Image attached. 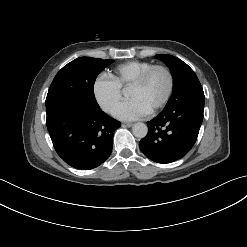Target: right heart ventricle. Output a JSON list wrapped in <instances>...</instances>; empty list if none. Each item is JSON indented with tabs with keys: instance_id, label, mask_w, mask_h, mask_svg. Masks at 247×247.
Instances as JSON below:
<instances>
[{
	"instance_id": "obj_1",
	"label": "right heart ventricle",
	"mask_w": 247,
	"mask_h": 247,
	"mask_svg": "<svg viewBox=\"0 0 247 247\" xmlns=\"http://www.w3.org/2000/svg\"><path fill=\"white\" fill-rule=\"evenodd\" d=\"M153 63L149 61L132 60L116 66L110 73V77L121 87L130 86V84L139 77Z\"/></svg>"
}]
</instances>
